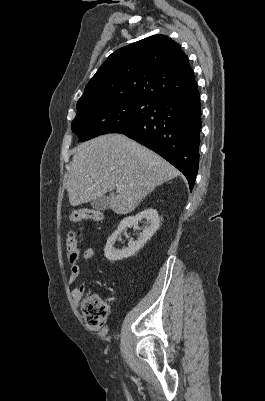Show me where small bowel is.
I'll use <instances>...</instances> for the list:
<instances>
[{
	"label": "small bowel",
	"instance_id": "c3829d8e",
	"mask_svg": "<svg viewBox=\"0 0 265 401\" xmlns=\"http://www.w3.org/2000/svg\"><path fill=\"white\" fill-rule=\"evenodd\" d=\"M94 255H95V249L93 247H87L84 249L77 248L75 253L72 254L68 253L67 263L70 267V275L68 279L69 284H73L80 275V266L78 264L79 258L82 257L85 261H88L92 259ZM85 290H86V282L80 283L71 290V296L75 305L79 304ZM91 329L96 330L98 328L91 327Z\"/></svg>",
	"mask_w": 265,
	"mask_h": 401
}]
</instances>
